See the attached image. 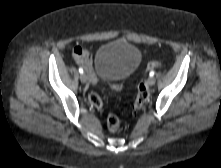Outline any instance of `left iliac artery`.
<instances>
[{"instance_id": "44dca946", "label": "left iliac artery", "mask_w": 221, "mask_h": 168, "mask_svg": "<svg viewBox=\"0 0 221 168\" xmlns=\"http://www.w3.org/2000/svg\"><path fill=\"white\" fill-rule=\"evenodd\" d=\"M154 74H155L154 71H151V72L149 73L150 77L154 76Z\"/></svg>"}]
</instances>
